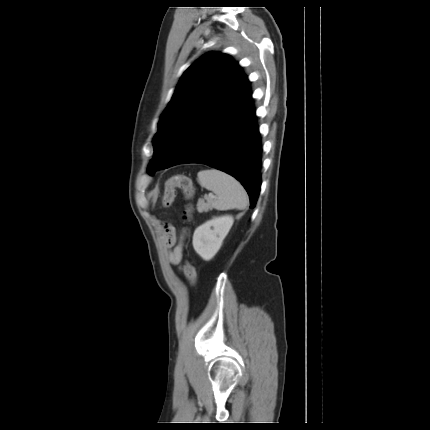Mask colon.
<instances>
[{
    "label": "colon",
    "instance_id": "colon-1",
    "mask_svg": "<svg viewBox=\"0 0 430 430\" xmlns=\"http://www.w3.org/2000/svg\"><path fill=\"white\" fill-rule=\"evenodd\" d=\"M177 188L183 192L185 198L188 200L194 195V186L191 179L184 174H176L166 183L162 197V205L164 207H169L174 203ZM192 214L193 206L187 204L184 210V218L189 221L192 218ZM183 272L191 286L194 287L197 284V272L195 267L189 261H186L183 266Z\"/></svg>",
    "mask_w": 430,
    "mask_h": 430
}]
</instances>
